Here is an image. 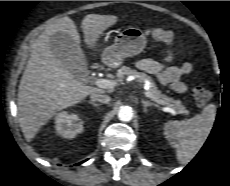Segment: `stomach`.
I'll return each mask as SVG.
<instances>
[{
	"label": "stomach",
	"instance_id": "obj_1",
	"mask_svg": "<svg viewBox=\"0 0 230 186\" xmlns=\"http://www.w3.org/2000/svg\"><path fill=\"white\" fill-rule=\"evenodd\" d=\"M143 31L136 27L124 29L115 37L114 44L104 49L102 62L109 67H118L124 58L140 54L146 46Z\"/></svg>",
	"mask_w": 230,
	"mask_h": 186
}]
</instances>
